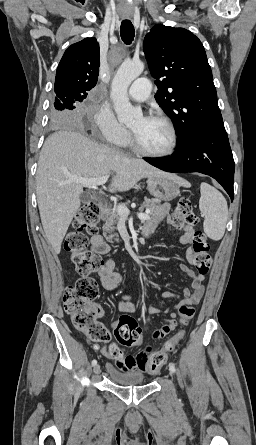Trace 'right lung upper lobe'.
<instances>
[{
	"label": "right lung upper lobe",
	"instance_id": "1",
	"mask_svg": "<svg viewBox=\"0 0 256 445\" xmlns=\"http://www.w3.org/2000/svg\"><path fill=\"white\" fill-rule=\"evenodd\" d=\"M99 52L95 38H85L68 47L57 68L55 93L70 90L86 97L98 80Z\"/></svg>",
	"mask_w": 256,
	"mask_h": 445
}]
</instances>
